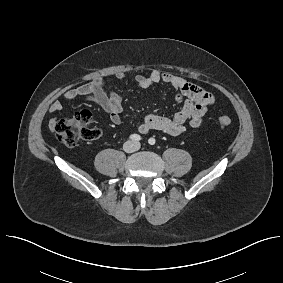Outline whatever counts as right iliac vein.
I'll return each instance as SVG.
<instances>
[{
  "mask_svg": "<svg viewBox=\"0 0 283 283\" xmlns=\"http://www.w3.org/2000/svg\"><path fill=\"white\" fill-rule=\"evenodd\" d=\"M134 149H135V144L134 143L129 141V142H126L124 144V150L126 152H132Z\"/></svg>",
  "mask_w": 283,
  "mask_h": 283,
  "instance_id": "obj_1",
  "label": "right iliac vein"
}]
</instances>
